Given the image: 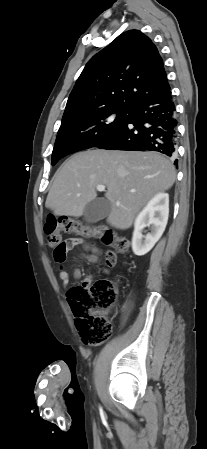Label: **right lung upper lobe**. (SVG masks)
<instances>
[{
	"label": "right lung upper lobe",
	"instance_id": "obj_1",
	"mask_svg": "<svg viewBox=\"0 0 207 449\" xmlns=\"http://www.w3.org/2000/svg\"><path fill=\"white\" fill-rule=\"evenodd\" d=\"M170 90L162 57L142 32L119 35L79 76L62 120L105 108H133Z\"/></svg>",
	"mask_w": 207,
	"mask_h": 449
}]
</instances>
